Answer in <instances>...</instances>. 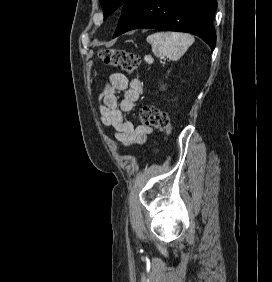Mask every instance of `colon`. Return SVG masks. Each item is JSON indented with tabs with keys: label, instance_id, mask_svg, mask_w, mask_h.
Masks as SVG:
<instances>
[{
	"label": "colon",
	"instance_id": "colon-1",
	"mask_svg": "<svg viewBox=\"0 0 272 282\" xmlns=\"http://www.w3.org/2000/svg\"><path fill=\"white\" fill-rule=\"evenodd\" d=\"M99 56L106 65L121 67L128 72L135 71L140 64L138 56L119 49L103 50ZM140 120L142 124L153 126L165 134L171 132L172 125L168 113L153 106H144L141 109Z\"/></svg>",
	"mask_w": 272,
	"mask_h": 282
}]
</instances>
